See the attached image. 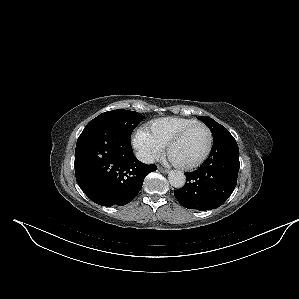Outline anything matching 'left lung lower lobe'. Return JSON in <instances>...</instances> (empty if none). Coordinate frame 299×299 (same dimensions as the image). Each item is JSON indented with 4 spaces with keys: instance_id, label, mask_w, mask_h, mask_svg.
Listing matches in <instances>:
<instances>
[{
    "instance_id": "left-lung-lower-lobe-1",
    "label": "left lung lower lobe",
    "mask_w": 299,
    "mask_h": 299,
    "mask_svg": "<svg viewBox=\"0 0 299 299\" xmlns=\"http://www.w3.org/2000/svg\"><path fill=\"white\" fill-rule=\"evenodd\" d=\"M213 142L209 158L196 171L186 173V184L174 191L178 202L188 209H216L235 189L240 167L238 145L228 130L213 136Z\"/></svg>"
}]
</instances>
